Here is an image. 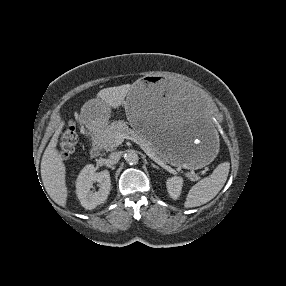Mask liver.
Listing matches in <instances>:
<instances>
[{"instance_id": "liver-1", "label": "liver", "mask_w": 286, "mask_h": 286, "mask_svg": "<svg viewBox=\"0 0 286 286\" xmlns=\"http://www.w3.org/2000/svg\"><path fill=\"white\" fill-rule=\"evenodd\" d=\"M132 85L126 84L117 87L102 89L97 98L107 107L117 109L125 100ZM60 126L53 135L41 160V178L46 192L50 198L58 205L65 207L67 202L68 190L66 186V167L62 155L57 149L58 138L62 132Z\"/></svg>"}]
</instances>
